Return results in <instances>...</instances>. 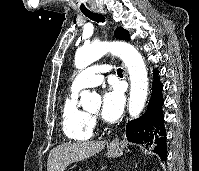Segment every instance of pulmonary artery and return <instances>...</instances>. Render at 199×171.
Masks as SVG:
<instances>
[{
  "label": "pulmonary artery",
  "instance_id": "pulmonary-artery-1",
  "mask_svg": "<svg viewBox=\"0 0 199 171\" xmlns=\"http://www.w3.org/2000/svg\"><path fill=\"white\" fill-rule=\"evenodd\" d=\"M109 70L108 66H88L75 77L71 89L79 91L83 88L97 86L103 81L104 74Z\"/></svg>",
  "mask_w": 199,
  "mask_h": 171
}]
</instances>
